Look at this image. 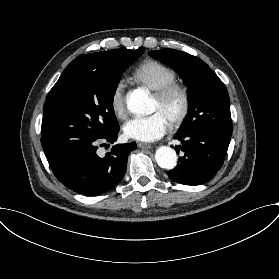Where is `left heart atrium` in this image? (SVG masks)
<instances>
[{
	"label": "left heart atrium",
	"mask_w": 279,
	"mask_h": 279,
	"mask_svg": "<svg viewBox=\"0 0 279 279\" xmlns=\"http://www.w3.org/2000/svg\"><path fill=\"white\" fill-rule=\"evenodd\" d=\"M169 122L161 111L145 117H134L123 126L124 135L140 142H154L165 135Z\"/></svg>",
	"instance_id": "1"
}]
</instances>
